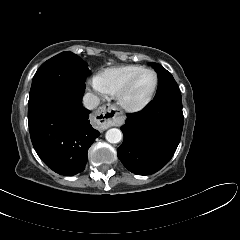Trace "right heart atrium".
<instances>
[{"mask_svg":"<svg viewBox=\"0 0 240 240\" xmlns=\"http://www.w3.org/2000/svg\"><path fill=\"white\" fill-rule=\"evenodd\" d=\"M91 85H92V87H93L96 91L102 92V90L100 89V87H99V85H98V83H97L96 78L92 80Z\"/></svg>","mask_w":240,"mask_h":240,"instance_id":"obj_1","label":"right heart atrium"}]
</instances>
